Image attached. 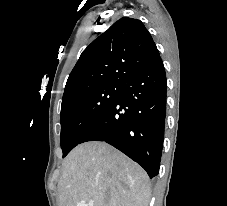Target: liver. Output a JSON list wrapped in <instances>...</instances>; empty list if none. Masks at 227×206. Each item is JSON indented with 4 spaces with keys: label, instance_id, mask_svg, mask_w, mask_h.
<instances>
[{
    "label": "liver",
    "instance_id": "obj_1",
    "mask_svg": "<svg viewBox=\"0 0 227 206\" xmlns=\"http://www.w3.org/2000/svg\"><path fill=\"white\" fill-rule=\"evenodd\" d=\"M150 195L144 169L104 142L80 144L63 162L59 206H148Z\"/></svg>",
    "mask_w": 227,
    "mask_h": 206
}]
</instances>
